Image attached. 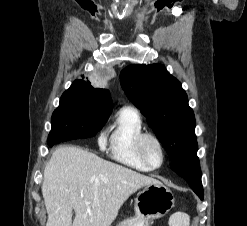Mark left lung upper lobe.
Here are the masks:
<instances>
[{
    "mask_svg": "<svg viewBox=\"0 0 247 226\" xmlns=\"http://www.w3.org/2000/svg\"><path fill=\"white\" fill-rule=\"evenodd\" d=\"M129 100L146 117L172 163L197 157L195 117L181 83L163 65L134 64L120 74Z\"/></svg>",
    "mask_w": 247,
    "mask_h": 226,
    "instance_id": "obj_1",
    "label": "left lung upper lobe"
}]
</instances>
